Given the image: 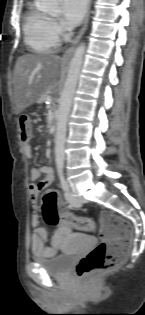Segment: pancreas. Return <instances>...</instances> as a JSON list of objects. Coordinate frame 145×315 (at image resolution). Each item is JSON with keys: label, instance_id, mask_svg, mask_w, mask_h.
<instances>
[{"label": "pancreas", "instance_id": "obj_1", "mask_svg": "<svg viewBox=\"0 0 145 315\" xmlns=\"http://www.w3.org/2000/svg\"><path fill=\"white\" fill-rule=\"evenodd\" d=\"M47 99L46 96L41 97L40 101H45Z\"/></svg>", "mask_w": 145, "mask_h": 315}]
</instances>
